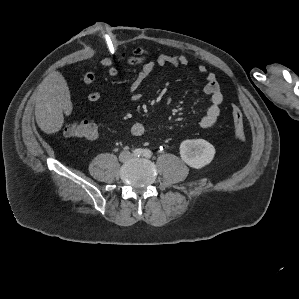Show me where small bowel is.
<instances>
[{
  "label": "small bowel",
  "mask_w": 299,
  "mask_h": 299,
  "mask_svg": "<svg viewBox=\"0 0 299 299\" xmlns=\"http://www.w3.org/2000/svg\"><path fill=\"white\" fill-rule=\"evenodd\" d=\"M127 62L130 65H141V68L135 79L130 85V98L134 101L140 100L142 95L139 92L140 87L145 80L151 75L155 67H164L173 65L176 67H183L188 65V59L184 55L171 56L161 54L153 56L148 50L144 48H135L131 54H120L115 60L106 57L100 61V66L107 70L109 76L114 77L118 74L117 65ZM198 71L206 77V84L204 86V93L210 98V106L207 108L205 114L200 120L201 128L208 129L213 127L221 114V105L223 103V94L217 77L214 73L208 72L204 65L198 66ZM96 78L95 70L86 72L83 76V82L87 86L94 84ZM101 94L98 91H92L88 94L87 99L91 103L99 101ZM146 131V126L143 123L137 122L131 127V134L135 137L142 136Z\"/></svg>",
  "instance_id": "c3829d8e"
}]
</instances>
